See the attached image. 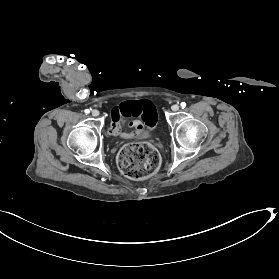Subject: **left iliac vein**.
Wrapping results in <instances>:
<instances>
[{"label": "left iliac vein", "mask_w": 279, "mask_h": 279, "mask_svg": "<svg viewBox=\"0 0 279 279\" xmlns=\"http://www.w3.org/2000/svg\"><path fill=\"white\" fill-rule=\"evenodd\" d=\"M171 109H172V111H175V112H176V111L179 110V105L174 104V105H172Z\"/></svg>", "instance_id": "1"}]
</instances>
